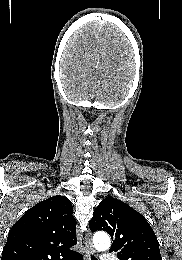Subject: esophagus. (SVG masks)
I'll use <instances>...</instances> for the list:
<instances>
[{
    "mask_svg": "<svg viewBox=\"0 0 182 260\" xmlns=\"http://www.w3.org/2000/svg\"><path fill=\"white\" fill-rule=\"evenodd\" d=\"M85 256H86V260H88L90 255H94L95 254V250L93 248L92 245V234L90 231H87L86 235H85Z\"/></svg>",
    "mask_w": 182,
    "mask_h": 260,
    "instance_id": "34e87169",
    "label": "esophagus"
}]
</instances>
